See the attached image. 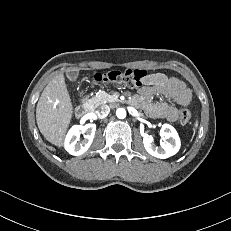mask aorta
<instances>
[{
  "label": "aorta",
  "instance_id": "obj_1",
  "mask_svg": "<svg viewBox=\"0 0 231 231\" xmlns=\"http://www.w3.org/2000/svg\"><path fill=\"white\" fill-rule=\"evenodd\" d=\"M116 116L119 119H124L126 117V110L124 108H118L116 110Z\"/></svg>",
  "mask_w": 231,
  "mask_h": 231
}]
</instances>
